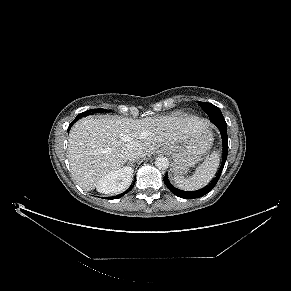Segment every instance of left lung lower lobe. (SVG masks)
I'll use <instances>...</instances> for the list:
<instances>
[{
  "label": "left lung lower lobe",
  "mask_w": 291,
  "mask_h": 291,
  "mask_svg": "<svg viewBox=\"0 0 291 291\" xmlns=\"http://www.w3.org/2000/svg\"><path fill=\"white\" fill-rule=\"evenodd\" d=\"M209 118H210V121L217 126V128L219 129V131L221 133V136H222L223 154H222L221 166H220V168L218 170L217 175L212 180V182L208 186H206V187H204V188H202L200 190H197V191H183V190L175 188L169 182L168 175L166 174L164 176L165 185L167 186V188L173 194H175L178 197L185 198V199H194V198H200V197L206 195L208 192H210L215 187V185L217 184V182H218V180L220 178L222 170L224 168V165H225V162H226V159H227V154H228L227 124L225 122L224 117H217V118L216 117H209ZM185 192L191 193V195L187 196V195L184 194Z\"/></svg>",
  "instance_id": "1"
}]
</instances>
